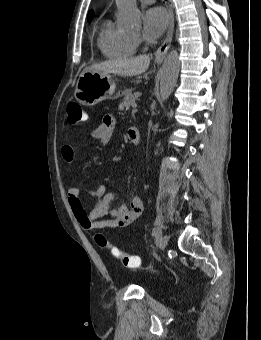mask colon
<instances>
[{
    "instance_id": "obj_1",
    "label": "colon",
    "mask_w": 261,
    "mask_h": 340,
    "mask_svg": "<svg viewBox=\"0 0 261 340\" xmlns=\"http://www.w3.org/2000/svg\"><path fill=\"white\" fill-rule=\"evenodd\" d=\"M67 123L76 126L86 119L85 112L80 104L71 102L67 106ZM95 241L98 246L107 249L126 268L134 269L140 265L138 256L128 254L119 248L112 246L103 234H96Z\"/></svg>"
}]
</instances>
